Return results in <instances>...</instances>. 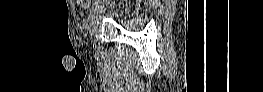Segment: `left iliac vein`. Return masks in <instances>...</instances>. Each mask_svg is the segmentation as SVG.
<instances>
[{
	"mask_svg": "<svg viewBox=\"0 0 263 92\" xmlns=\"http://www.w3.org/2000/svg\"><path fill=\"white\" fill-rule=\"evenodd\" d=\"M97 4H98V8H101V4H102V0H97ZM100 12H102V9H98L96 16H92L91 17V21H90V25H91V29H90V36H93L95 34V31L97 29L96 24L99 21V14Z\"/></svg>",
	"mask_w": 263,
	"mask_h": 92,
	"instance_id": "left-iliac-vein-1",
	"label": "left iliac vein"
}]
</instances>
